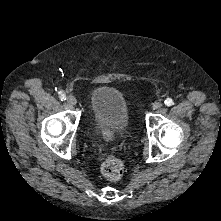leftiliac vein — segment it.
Listing matches in <instances>:
<instances>
[{
	"label": "left iliac vein",
	"instance_id": "4c4485c4",
	"mask_svg": "<svg viewBox=\"0 0 221 221\" xmlns=\"http://www.w3.org/2000/svg\"><path fill=\"white\" fill-rule=\"evenodd\" d=\"M162 103L161 102H155L152 106L153 110H159L162 107Z\"/></svg>",
	"mask_w": 221,
	"mask_h": 221
}]
</instances>
